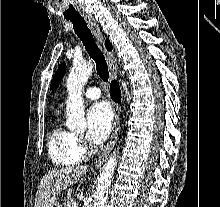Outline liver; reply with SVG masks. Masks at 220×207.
<instances>
[{
  "label": "liver",
  "instance_id": "1",
  "mask_svg": "<svg viewBox=\"0 0 220 207\" xmlns=\"http://www.w3.org/2000/svg\"><path fill=\"white\" fill-rule=\"evenodd\" d=\"M86 173L87 166H69L50 170L40 181L35 207H51L61 191L75 184Z\"/></svg>",
  "mask_w": 220,
  "mask_h": 207
}]
</instances>
